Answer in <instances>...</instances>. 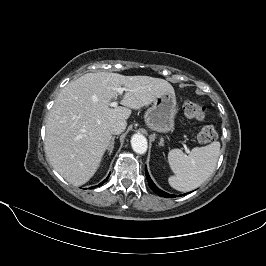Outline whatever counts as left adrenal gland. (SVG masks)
I'll list each match as a JSON object with an SVG mask.
<instances>
[{
	"instance_id": "1",
	"label": "left adrenal gland",
	"mask_w": 266,
	"mask_h": 266,
	"mask_svg": "<svg viewBox=\"0 0 266 266\" xmlns=\"http://www.w3.org/2000/svg\"><path fill=\"white\" fill-rule=\"evenodd\" d=\"M159 145H161V146H163L164 145V139L161 137V139H160V143H159Z\"/></svg>"
}]
</instances>
